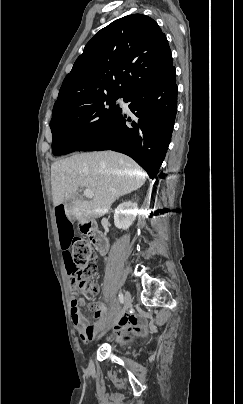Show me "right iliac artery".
Here are the masks:
<instances>
[{"mask_svg": "<svg viewBox=\"0 0 243 404\" xmlns=\"http://www.w3.org/2000/svg\"><path fill=\"white\" fill-rule=\"evenodd\" d=\"M119 301H120V303L124 302V296L122 293H119Z\"/></svg>", "mask_w": 243, "mask_h": 404, "instance_id": "1", "label": "right iliac artery"}]
</instances>
